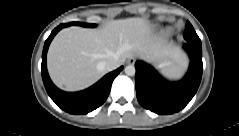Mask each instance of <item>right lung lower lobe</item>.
I'll use <instances>...</instances> for the list:
<instances>
[{
	"mask_svg": "<svg viewBox=\"0 0 239 136\" xmlns=\"http://www.w3.org/2000/svg\"><path fill=\"white\" fill-rule=\"evenodd\" d=\"M63 27H66L65 24H61L57 28H55L45 41L41 64L43 83L50 98L62 110L71 114H87L88 112H91L100 107L105 102L110 93L114 78L119 74L123 67H120L117 70L106 74L101 80H99L96 84L86 90L70 93L58 89L52 83L48 75L46 56L49 44L51 43L57 32Z\"/></svg>",
	"mask_w": 239,
	"mask_h": 136,
	"instance_id": "1",
	"label": "right lung lower lobe"
}]
</instances>
